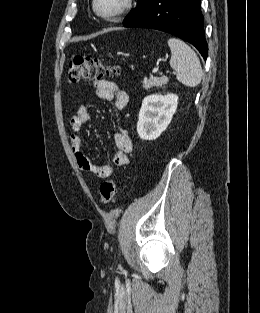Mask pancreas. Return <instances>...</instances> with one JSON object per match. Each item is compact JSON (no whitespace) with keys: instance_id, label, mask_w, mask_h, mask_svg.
Masks as SVG:
<instances>
[{"instance_id":"pancreas-1","label":"pancreas","mask_w":260,"mask_h":313,"mask_svg":"<svg viewBox=\"0 0 260 313\" xmlns=\"http://www.w3.org/2000/svg\"><path fill=\"white\" fill-rule=\"evenodd\" d=\"M168 77L162 76V77H151L149 79L144 78L143 79V88L148 90L153 87H162L163 85H166L168 83Z\"/></svg>"}]
</instances>
